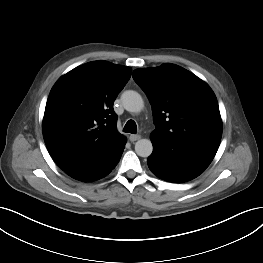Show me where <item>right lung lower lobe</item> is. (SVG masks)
Masks as SVG:
<instances>
[{"label":"right lung lower lobe","mask_w":263,"mask_h":263,"mask_svg":"<svg viewBox=\"0 0 263 263\" xmlns=\"http://www.w3.org/2000/svg\"><path fill=\"white\" fill-rule=\"evenodd\" d=\"M126 142V140H125ZM125 143L123 146L115 152L109 158L95 164L87 165L82 168H78L69 172H66L69 176L84 182L95 181L105 177L109 174L115 166L118 164L121 155L124 150Z\"/></svg>","instance_id":"obj_1"}]
</instances>
